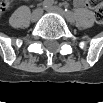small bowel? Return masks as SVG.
Segmentation results:
<instances>
[{
  "label": "small bowel",
  "mask_w": 103,
  "mask_h": 103,
  "mask_svg": "<svg viewBox=\"0 0 103 103\" xmlns=\"http://www.w3.org/2000/svg\"><path fill=\"white\" fill-rule=\"evenodd\" d=\"M74 5H75L76 7H78V8L88 6V5H87V2L84 1V0H76V1L74 2Z\"/></svg>",
  "instance_id": "c3829d8e"
}]
</instances>
